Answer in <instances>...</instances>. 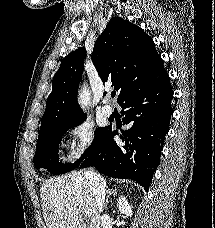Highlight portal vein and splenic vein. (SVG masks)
Returning <instances> with one entry per match:
<instances>
[{
    "instance_id": "obj_1",
    "label": "portal vein and splenic vein",
    "mask_w": 215,
    "mask_h": 228,
    "mask_svg": "<svg viewBox=\"0 0 215 228\" xmlns=\"http://www.w3.org/2000/svg\"><path fill=\"white\" fill-rule=\"evenodd\" d=\"M85 214H89L88 210H87V212H85Z\"/></svg>"
}]
</instances>
